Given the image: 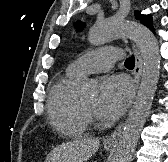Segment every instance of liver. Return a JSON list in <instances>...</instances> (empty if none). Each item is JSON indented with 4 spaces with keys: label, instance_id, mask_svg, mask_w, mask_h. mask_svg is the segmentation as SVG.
Instances as JSON below:
<instances>
[{
    "label": "liver",
    "instance_id": "liver-1",
    "mask_svg": "<svg viewBox=\"0 0 168 162\" xmlns=\"http://www.w3.org/2000/svg\"><path fill=\"white\" fill-rule=\"evenodd\" d=\"M98 138H78L55 147L45 162H85L99 149Z\"/></svg>",
    "mask_w": 168,
    "mask_h": 162
}]
</instances>
